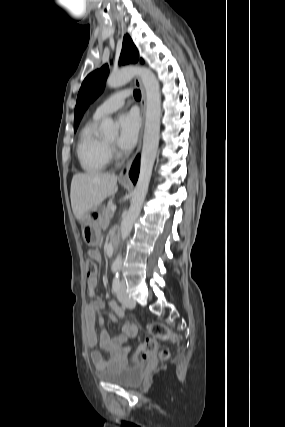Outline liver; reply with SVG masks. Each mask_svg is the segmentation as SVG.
I'll list each match as a JSON object with an SVG mask.
<instances>
[{
  "instance_id": "6515ba94",
  "label": "liver",
  "mask_w": 285,
  "mask_h": 427,
  "mask_svg": "<svg viewBox=\"0 0 285 427\" xmlns=\"http://www.w3.org/2000/svg\"><path fill=\"white\" fill-rule=\"evenodd\" d=\"M118 190L115 174L79 173L71 182V206L75 217L83 220L85 215Z\"/></svg>"
}]
</instances>
